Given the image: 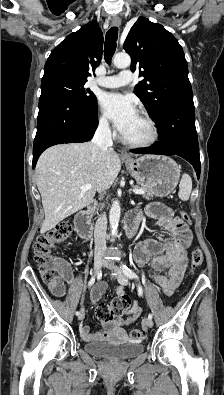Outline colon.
Segmentation results:
<instances>
[{
	"instance_id": "obj_1",
	"label": "colon",
	"mask_w": 224,
	"mask_h": 395,
	"mask_svg": "<svg viewBox=\"0 0 224 395\" xmlns=\"http://www.w3.org/2000/svg\"><path fill=\"white\" fill-rule=\"evenodd\" d=\"M179 216L184 224L189 222V215L185 211H180ZM71 232L70 224L64 223L40 234L34 245V260L40 268L42 278L47 283L60 282L68 272V266L52 255V249L69 237ZM203 252L195 248L191 253V266L198 268L203 262ZM130 307V298L121 295L111 303H100L96 309V316L102 322H109L114 317L125 313ZM145 335L144 330L132 328L130 337L133 340H141Z\"/></svg>"
}]
</instances>
